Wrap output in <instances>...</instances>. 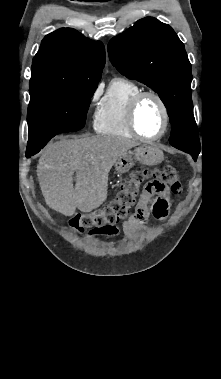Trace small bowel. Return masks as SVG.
I'll use <instances>...</instances> for the list:
<instances>
[{
	"label": "small bowel",
	"instance_id": "1",
	"mask_svg": "<svg viewBox=\"0 0 221 379\" xmlns=\"http://www.w3.org/2000/svg\"><path fill=\"white\" fill-rule=\"evenodd\" d=\"M174 195H177V192L173 190H165L163 192L145 191L137 204L134 214L123 223V230L127 238L131 239L146 229L145 224L149 217V203L152 199L151 210L154 218L163 219L167 216L168 210H170L168 197H173ZM101 234L107 236L117 235L118 229L115 227Z\"/></svg>",
	"mask_w": 221,
	"mask_h": 379
}]
</instances>
